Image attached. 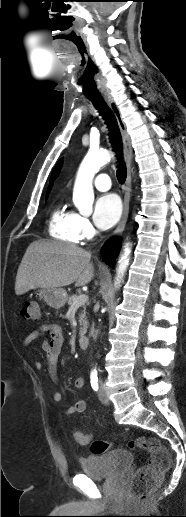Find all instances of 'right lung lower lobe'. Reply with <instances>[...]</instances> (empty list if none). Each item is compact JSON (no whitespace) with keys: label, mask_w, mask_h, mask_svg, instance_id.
Masks as SVG:
<instances>
[{"label":"right lung lower lobe","mask_w":186,"mask_h":517,"mask_svg":"<svg viewBox=\"0 0 186 517\" xmlns=\"http://www.w3.org/2000/svg\"><path fill=\"white\" fill-rule=\"evenodd\" d=\"M102 257L105 260L107 264H112V260L116 257L118 254V244L116 242L112 243L109 242L107 249H103L101 251Z\"/></svg>","instance_id":"obj_1"}]
</instances>
